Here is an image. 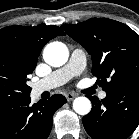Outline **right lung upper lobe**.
Segmentation results:
<instances>
[{
    "label": "right lung upper lobe",
    "mask_w": 139,
    "mask_h": 139,
    "mask_svg": "<svg viewBox=\"0 0 139 139\" xmlns=\"http://www.w3.org/2000/svg\"><path fill=\"white\" fill-rule=\"evenodd\" d=\"M58 35L65 33L55 25L9 26L0 29V52L16 56L33 72L43 46Z\"/></svg>",
    "instance_id": "cb5924a9"
}]
</instances>
